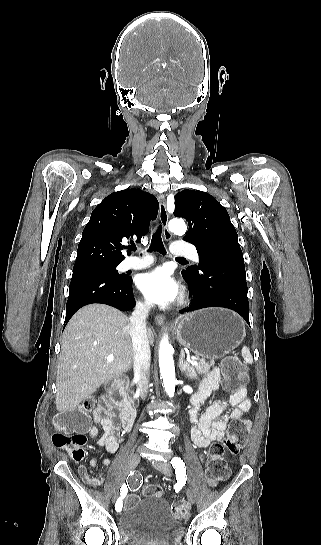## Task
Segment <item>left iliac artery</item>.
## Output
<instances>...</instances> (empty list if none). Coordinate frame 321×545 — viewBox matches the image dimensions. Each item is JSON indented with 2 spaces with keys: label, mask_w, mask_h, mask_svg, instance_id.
Listing matches in <instances>:
<instances>
[{
  "label": "left iliac artery",
  "mask_w": 321,
  "mask_h": 545,
  "mask_svg": "<svg viewBox=\"0 0 321 545\" xmlns=\"http://www.w3.org/2000/svg\"><path fill=\"white\" fill-rule=\"evenodd\" d=\"M171 464L173 468L175 469L177 480L181 482H186L187 475H186L185 463L183 462V460L179 457H174L171 460Z\"/></svg>",
  "instance_id": "obj_1"
}]
</instances>
